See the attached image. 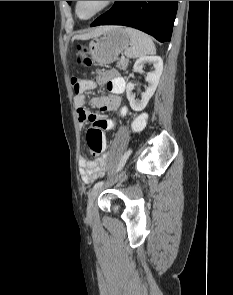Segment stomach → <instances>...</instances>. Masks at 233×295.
Masks as SVG:
<instances>
[{"label": "stomach", "instance_id": "0dacf381", "mask_svg": "<svg viewBox=\"0 0 233 295\" xmlns=\"http://www.w3.org/2000/svg\"><path fill=\"white\" fill-rule=\"evenodd\" d=\"M129 35L120 26H109L89 43L88 52L93 61L100 65L111 64L127 49Z\"/></svg>", "mask_w": 233, "mask_h": 295}]
</instances>
